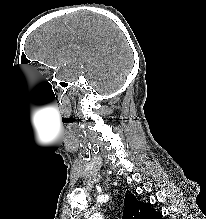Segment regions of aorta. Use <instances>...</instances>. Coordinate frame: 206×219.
<instances>
[{
	"instance_id": "1",
	"label": "aorta",
	"mask_w": 206,
	"mask_h": 219,
	"mask_svg": "<svg viewBox=\"0 0 206 219\" xmlns=\"http://www.w3.org/2000/svg\"><path fill=\"white\" fill-rule=\"evenodd\" d=\"M91 219H101L99 216H94L93 218Z\"/></svg>"
}]
</instances>
